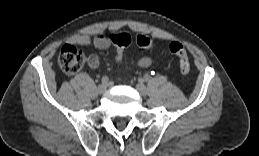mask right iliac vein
<instances>
[{"mask_svg":"<svg viewBox=\"0 0 259 156\" xmlns=\"http://www.w3.org/2000/svg\"><path fill=\"white\" fill-rule=\"evenodd\" d=\"M106 89H107V85L106 84H100L98 86V88H97V92L99 94H103V93H105Z\"/></svg>","mask_w":259,"mask_h":156,"instance_id":"obj_1","label":"right iliac vein"}]
</instances>
